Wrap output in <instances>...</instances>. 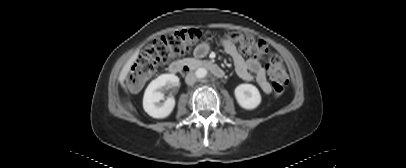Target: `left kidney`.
Here are the masks:
<instances>
[{
	"mask_svg": "<svg viewBox=\"0 0 406 168\" xmlns=\"http://www.w3.org/2000/svg\"><path fill=\"white\" fill-rule=\"evenodd\" d=\"M235 98L238 104L247 110L255 109L261 103L259 90L252 84H240L235 88Z\"/></svg>",
	"mask_w": 406,
	"mask_h": 168,
	"instance_id": "5707ae66",
	"label": "left kidney"
}]
</instances>
